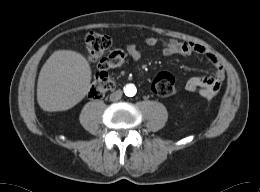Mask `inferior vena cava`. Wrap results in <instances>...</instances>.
<instances>
[{"label": "inferior vena cava", "instance_id": "inferior-vena-cava-1", "mask_svg": "<svg viewBox=\"0 0 260 192\" xmlns=\"http://www.w3.org/2000/svg\"><path fill=\"white\" fill-rule=\"evenodd\" d=\"M122 97V91L121 90H116L115 92H113L111 95H110V100L111 101H118L120 100Z\"/></svg>", "mask_w": 260, "mask_h": 192}]
</instances>
